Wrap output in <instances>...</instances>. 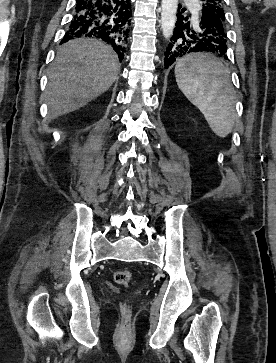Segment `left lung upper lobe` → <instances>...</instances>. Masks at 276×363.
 <instances>
[{"label":"left lung upper lobe","instance_id":"5c2ea615","mask_svg":"<svg viewBox=\"0 0 276 363\" xmlns=\"http://www.w3.org/2000/svg\"><path fill=\"white\" fill-rule=\"evenodd\" d=\"M203 10H208L214 14L216 19L219 21L222 30V39L227 42L226 35V18L225 11L223 8L222 0H201Z\"/></svg>","mask_w":276,"mask_h":363}]
</instances>
